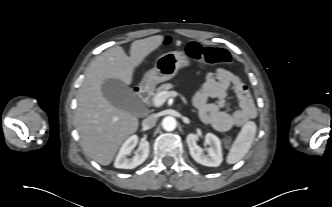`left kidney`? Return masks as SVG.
Wrapping results in <instances>:
<instances>
[{
    "instance_id": "left-kidney-1",
    "label": "left kidney",
    "mask_w": 332,
    "mask_h": 207,
    "mask_svg": "<svg viewBox=\"0 0 332 207\" xmlns=\"http://www.w3.org/2000/svg\"><path fill=\"white\" fill-rule=\"evenodd\" d=\"M197 140L198 136L196 134H189L186 138L191 157L204 166H219L223 160L220 139L212 133L205 135V142L210 145L207 154L197 145Z\"/></svg>"
}]
</instances>
